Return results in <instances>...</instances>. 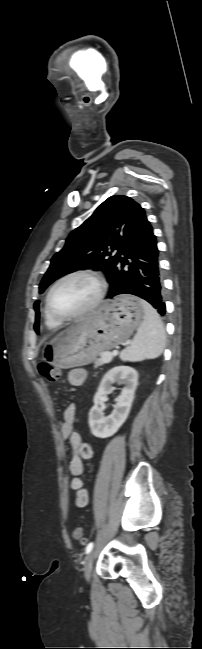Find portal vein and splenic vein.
<instances>
[{
	"label": "portal vein and splenic vein",
	"mask_w": 202,
	"mask_h": 649,
	"mask_svg": "<svg viewBox=\"0 0 202 649\" xmlns=\"http://www.w3.org/2000/svg\"><path fill=\"white\" fill-rule=\"evenodd\" d=\"M116 354H117V351H116V350H114L112 353L104 352V353H102V355H101V360H102L104 363H109V362L112 360V356H113V355H116Z\"/></svg>",
	"instance_id": "portal-vein-and-splenic-vein-1"
}]
</instances>
